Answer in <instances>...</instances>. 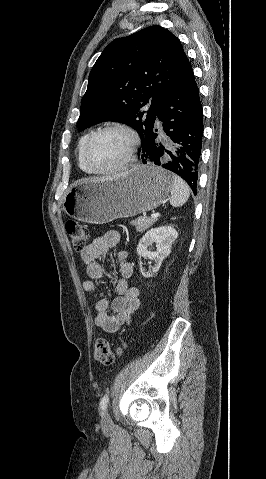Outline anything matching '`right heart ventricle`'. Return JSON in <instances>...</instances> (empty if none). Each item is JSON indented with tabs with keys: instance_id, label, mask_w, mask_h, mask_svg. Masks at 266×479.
<instances>
[{
	"instance_id": "1",
	"label": "right heart ventricle",
	"mask_w": 266,
	"mask_h": 479,
	"mask_svg": "<svg viewBox=\"0 0 266 479\" xmlns=\"http://www.w3.org/2000/svg\"><path fill=\"white\" fill-rule=\"evenodd\" d=\"M93 131L90 130L88 132H86L79 140V143H78V156H77V161H78V166L79 168L84 172V173H87V174H90L91 172L87 169V167L85 166L84 162H83V158H82V152H83V148H84V145L87 141V138L90 136V134L92 133Z\"/></svg>"
}]
</instances>
